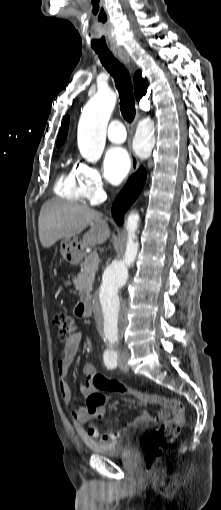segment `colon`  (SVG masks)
Wrapping results in <instances>:
<instances>
[{
    "instance_id": "obj_1",
    "label": "colon",
    "mask_w": 221,
    "mask_h": 510,
    "mask_svg": "<svg viewBox=\"0 0 221 510\" xmlns=\"http://www.w3.org/2000/svg\"><path fill=\"white\" fill-rule=\"evenodd\" d=\"M53 324L59 340L63 343L70 342L77 330L75 320L67 313L59 312L54 315ZM90 382L97 391L124 394L135 398L141 404L152 403L161 407L155 416L156 421L161 422V425L147 436L144 443V467L146 472H151L156 460L180 433L185 421L183 403L178 399H166L154 394L141 393L101 373H95ZM104 401L105 398L101 393H92L86 397V405L89 408L98 406ZM169 414H171L170 418Z\"/></svg>"
}]
</instances>
